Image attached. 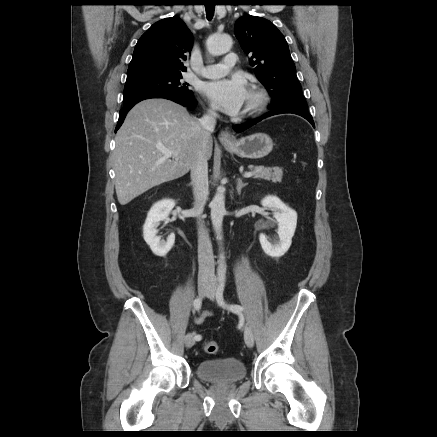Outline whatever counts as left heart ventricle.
Returning <instances> with one entry per match:
<instances>
[{"label": "left heart ventricle", "mask_w": 437, "mask_h": 437, "mask_svg": "<svg viewBox=\"0 0 437 437\" xmlns=\"http://www.w3.org/2000/svg\"><path fill=\"white\" fill-rule=\"evenodd\" d=\"M255 101V97L253 94H251L250 92L248 93L247 99L245 101L244 107L243 109H247L248 107H250Z\"/></svg>", "instance_id": "1"}]
</instances>
